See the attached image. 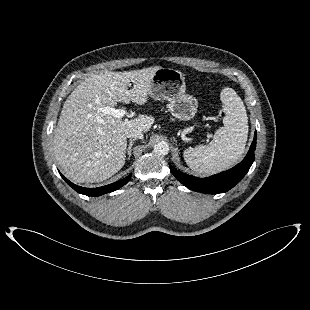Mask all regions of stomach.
Wrapping results in <instances>:
<instances>
[{"label":"stomach","mask_w":310,"mask_h":310,"mask_svg":"<svg viewBox=\"0 0 310 310\" xmlns=\"http://www.w3.org/2000/svg\"><path fill=\"white\" fill-rule=\"evenodd\" d=\"M149 95L155 100L168 101V111L177 119H192L198 108L197 99L186 93L184 74L173 68L160 67L153 75Z\"/></svg>","instance_id":"1"}]
</instances>
